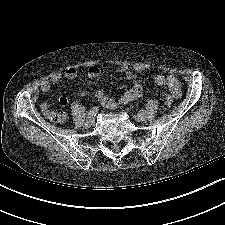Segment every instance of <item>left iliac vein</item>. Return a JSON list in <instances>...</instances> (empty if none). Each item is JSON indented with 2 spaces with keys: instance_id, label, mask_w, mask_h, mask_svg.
<instances>
[{
  "instance_id": "1",
  "label": "left iliac vein",
  "mask_w": 225,
  "mask_h": 225,
  "mask_svg": "<svg viewBox=\"0 0 225 225\" xmlns=\"http://www.w3.org/2000/svg\"><path fill=\"white\" fill-rule=\"evenodd\" d=\"M134 118L136 119V121L141 122V123H143L147 120V116L145 113H138L134 116Z\"/></svg>"
}]
</instances>
